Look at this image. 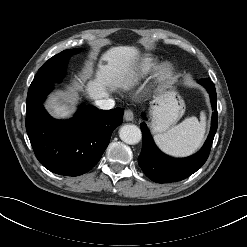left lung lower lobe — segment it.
Segmentation results:
<instances>
[{
    "instance_id": "left-lung-lower-lobe-1",
    "label": "left lung lower lobe",
    "mask_w": 247,
    "mask_h": 247,
    "mask_svg": "<svg viewBox=\"0 0 247 247\" xmlns=\"http://www.w3.org/2000/svg\"><path fill=\"white\" fill-rule=\"evenodd\" d=\"M210 94L212 108L211 130L203 147L194 155L186 158H172L163 154L154 144L145 123H141L143 145L138 164L146 176L157 183L181 181L195 173L206 162L218 126L216 90L210 79L198 81ZM143 118L145 114L143 113Z\"/></svg>"
}]
</instances>
